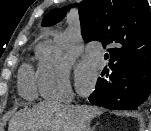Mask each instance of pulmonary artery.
I'll return each mask as SVG.
<instances>
[{"mask_svg":"<svg viewBox=\"0 0 151 131\" xmlns=\"http://www.w3.org/2000/svg\"><path fill=\"white\" fill-rule=\"evenodd\" d=\"M87 51L89 55L94 59L97 66L102 69L105 66V60L102 52L96 48H88Z\"/></svg>","mask_w":151,"mask_h":131,"instance_id":"e3ab8cb5","label":"pulmonary artery"}]
</instances>
